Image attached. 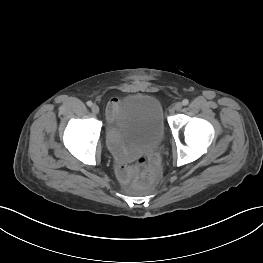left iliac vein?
Returning <instances> with one entry per match:
<instances>
[{
	"mask_svg": "<svg viewBox=\"0 0 263 263\" xmlns=\"http://www.w3.org/2000/svg\"><path fill=\"white\" fill-rule=\"evenodd\" d=\"M174 108L176 111H180L182 109V103L180 102L176 103Z\"/></svg>",
	"mask_w": 263,
	"mask_h": 263,
	"instance_id": "4c4485c4",
	"label": "left iliac vein"
}]
</instances>
